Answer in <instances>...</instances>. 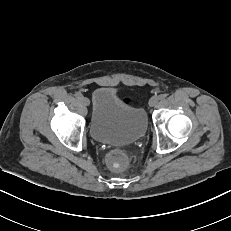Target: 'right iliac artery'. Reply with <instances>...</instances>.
Segmentation results:
<instances>
[{
    "instance_id": "82829eb1",
    "label": "right iliac artery",
    "mask_w": 231,
    "mask_h": 231,
    "mask_svg": "<svg viewBox=\"0 0 231 231\" xmlns=\"http://www.w3.org/2000/svg\"><path fill=\"white\" fill-rule=\"evenodd\" d=\"M76 97H77L78 99H82V98H83V95H82L81 93H77V94H76Z\"/></svg>"
}]
</instances>
